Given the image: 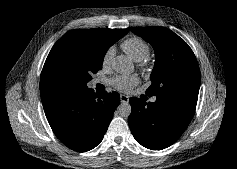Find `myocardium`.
I'll return each instance as SVG.
<instances>
[{
  "mask_svg": "<svg viewBox=\"0 0 237 169\" xmlns=\"http://www.w3.org/2000/svg\"><path fill=\"white\" fill-rule=\"evenodd\" d=\"M150 58L147 56L143 60L139 61L138 67L140 70L144 71L147 69V67L150 65Z\"/></svg>",
  "mask_w": 237,
  "mask_h": 169,
  "instance_id": "obj_1",
  "label": "myocardium"
}]
</instances>
